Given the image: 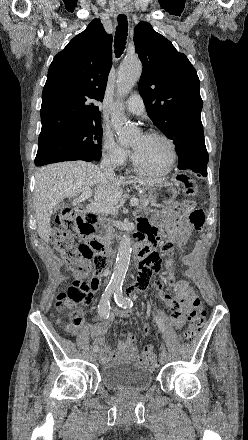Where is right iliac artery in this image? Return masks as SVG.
I'll list each match as a JSON object with an SVG mask.
<instances>
[{
    "instance_id": "right-iliac-artery-1",
    "label": "right iliac artery",
    "mask_w": 248,
    "mask_h": 440,
    "mask_svg": "<svg viewBox=\"0 0 248 440\" xmlns=\"http://www.w3.org/2000/svg\"><path fill=\"white\" fill-rule=\"evenodd\" d=\"M115 288L114 287H107L102 294V297L100 299L99 305H98V312L101 317L108 318L109 317V311H110V297L113 294ZM93 351L98 352L99 347L93 346Z\"/></svg>"
}]
</instances>
